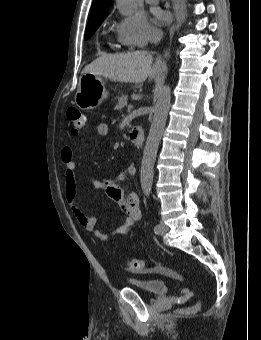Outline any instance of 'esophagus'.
Segmentation results:
<instances>
[{"instance_id": "1", "label": "esophagus", "mask_w": 261, "mask_h": 340, "mask_svg": "<svg viewBox=\"0 0 261 340\" xmlns=\"http://www.w3.org/2000/svg\"><path fill=\"white\" fill-rule=\"evenodd\" d=\"M173 34H174V26H172L170 29V36H172Z\"/></svg>"}]
</instances>
